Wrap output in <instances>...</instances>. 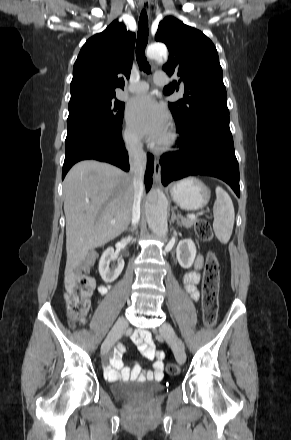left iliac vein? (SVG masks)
I'll list each match as a JSON object with an SVG mask.
<instances>
[{"label": "left iliac vein", "mask_w": 291, "mask_h": 440, "mask_svg": "<svg viewBox=\"0 0 291 440\" xmlns=\"http://www.w3.org/2000/svg\"><path fill=\"white\" fill-rule=\"evenodd\" d=\"M159 333L171 346L177 362L181 365L184 364L186 361V353L183 346L178 341L177 335L172 326L168 323H164L159 328Z\"/></svg>", "instance_id": "left-iliac-vein-1"}]
</instances>
